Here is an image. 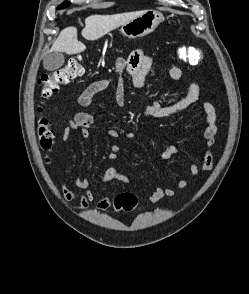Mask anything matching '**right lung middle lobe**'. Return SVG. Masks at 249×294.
I'll use <instances>...</instances> for the list:
<instances>
[{"label": "right lung middle lobe", "mask_w": 249, "mask_h": 294, "mask_svg": "<svg viewBox=\"0 0 249 294\" xmlns=\"http://www.w3.org/2000/svg\"><path fill=\"white\" fill-rule=\"evenodd\" d=\"M68 5H69V2H64V3H62L61 5H59V6L57 7V9L65 8V7H67Z\"/></svg>", "instance_id": "dd1d6c3e"}]
</instances>
